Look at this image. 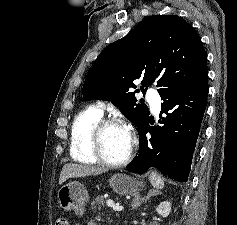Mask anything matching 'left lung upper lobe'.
Masks as SVG:
<instances>
[{"label": "left lung upper lobe", "instance_id": "left-lung-upper-lobe-1", "mask_svg": "<svg viewBox=\"0 0 237 225\" xmlns=\"http://www.w3.org/2000/svg\"><path fill=\"white\" fill-rule=\"evenodd\" d=\"M207 74L206 52L194 28L177 15H154L107 46L88 70L82 93L86 100H110L139 129L149 110L136 103L140 90L134 80L142 79L141 90L156 82L161 95L196 86Z\"/></svg>", "mask_w": 237, "mask_h": 225}]
</instances>
